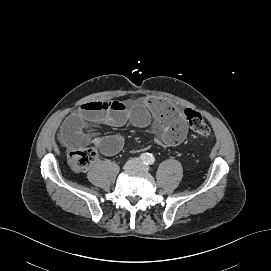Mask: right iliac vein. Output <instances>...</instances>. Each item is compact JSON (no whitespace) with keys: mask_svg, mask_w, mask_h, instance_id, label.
<instances>
[{"mask_svg":"<svg viewBox=\"0 0 271 271\" xmlns=\"http://www.w3.org/2000/svg\"><path fill=\"white\" fill-rule=\"evenodd\" d=\"M137 168V161L136 160H129L125 165L124 169L125 170H132Z\"/></svg>","mask_w":271,"mask_h":271,"instance_id":"1","label":"right iliac vein"}]
</instances>
